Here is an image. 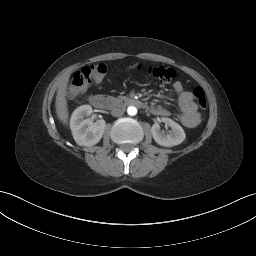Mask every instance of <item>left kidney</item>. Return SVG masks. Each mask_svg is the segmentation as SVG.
<instances>
[{
	"instance_id": "left-kidney-1",
	"label": "left kidney",
	"mask_w": 256,
	"mask_h": 256,
	"mask_svg": "<svg viewBox=\"0 0 256 256\" xmlns=\"http://www.w3.org/2000/svg\"><path fill=\"white\" fill-rule=\"evenodd\" d=\"M158 121H162L166 125L171 127V130L168 132V134H165V132L160 130V125ZM151 133L155 142L164 147L179 145L186 138V134L183 128L172 119L166 117L157 119V121L153 124L151 128Z\"/></svg>"
}]
</instances>
